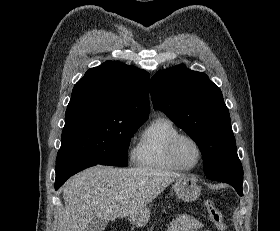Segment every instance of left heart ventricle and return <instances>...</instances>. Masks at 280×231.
<instances>
[{
	"mask_svg": "<svg viewBox=\"0 0 280 231\" xmlns=\"http://www.w3.org/2000/svg\"><path fill=\"white\" fill-rule=\"evenodd\" d=\"M176 156L179 162L186 168H195L200 159L196 143L189 138H183L179 141L176 148Z\"/></svg>",
	"mask_w": 280,
	"mask_h": 231,
	"instance_id": "obj_1",
	"label": "left heart ventricle"
}]
</instances>
